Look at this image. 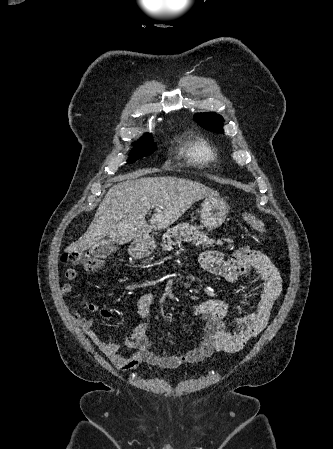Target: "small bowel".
Listing matches in <instances>:
<instances>
[{
	"label": "small bowel",
	"mask_w": 333,
	"mask_h": 449,
	"mask_svg": "<svg viewBox=\"0 0 333 449\" xmlns=\"http://www.w3.org/2000/svg\"><path fill=\"white\" fill-rule=\"evenodd\" d=\"M200 265L206 272L218 275L228 283H235L244 275L254 274L260 284L258 304L252 313L230 322L224 321L227 306L221 300L210 299L193 305L192 313L203 316L206 322L203 337L198 345L174 355L158 349L147 334L151 309L155 301L154 294L145 293L137 303L138 313L143 318V322L125 337V345L134 350L129 355L121 352L120 344L102 341L93 329L92 319L85 318L78 310L71 309L67 304V297L73 290L70 283L61 287L60 296L74 322L119 369L132 370L141 364L175 368L184 363L201 361L215 351L241 350L248 340L265 329L271 310L282 292V282L275 265L266 255L249 247L238 249L229 259H225L221 252L205 251L200 256ZM65 277L72 281L77 277V271L74 268H68L65 271ZM83 303L88 310H97L91 302L84 299ZM100 315L108 319L112 313L107 309H101Z\"/></svg>",
	"instance_id": "c3829d8e"
}]
</instances>
